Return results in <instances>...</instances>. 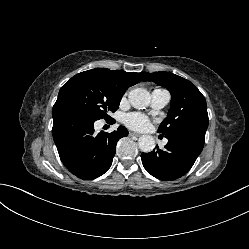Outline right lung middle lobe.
I'll use <instances>...</instances> for the list:
<instances>
[{
  "instance_id": "1",
  "label": "right lung middle lobe",
  "mask_w": 249,
  "mask_h": 249,
  "mask_svg": "<svg viewBox=\"0 0 249 249\" xmlns=\"http://www.w3.org/2000/svg\"><path fill=\"white\" fill-rule=\"evenodd\" d=\"M123 94L111 83L88 70L73 76L60 89L54 106L71 108L96 121L107 119L108 112H115Z\"/></svg>"
}]
</instances>
